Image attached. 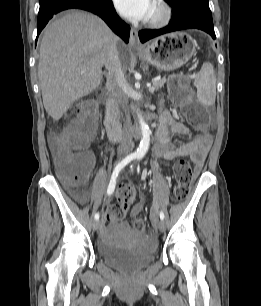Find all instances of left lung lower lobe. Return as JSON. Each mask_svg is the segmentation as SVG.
<instances>
[{
	"instance_id": "left-lung-lower-lobe-1",
	"label": "left lung lower lobe",
	"mask_w": 261,
	"mask_h": 306,
	"mask_svg": "<svg viewBox=\"0 0 261 306\" xmlns=\"http://www.w3.org/2000/svg\"><path fill=\"white\" fill-rule=\"evenodd\" d=\"M171 7L173 15L168 26L159 30L139 31L142 43L162 34L190 28L201 29L213 39L216 38L208 0H180Z\"/></svg>"
}]
</instances>
